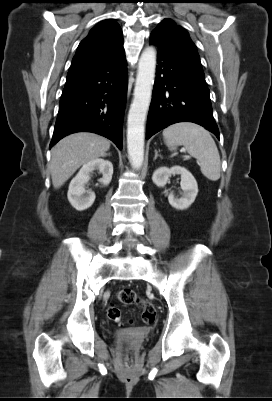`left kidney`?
Segmentation results:
<instances>
[{"label": "left kidney", "mask_w": 272, "mask_h": 401, "mask_svg": "<svg viewBox=\"0 0 272 401\" xmlns=\"http://www.w3.org/2000/svg\"><path fill=\"white\" fill-rule=\"evenodd\" d=\"M172 174L181 176L180 186L182 189V197L175 198L173 193L168 195L169 204L178 209L184 210L194 202L198 194V185L193 175L184 167L174 166L171 168H158L152 176L153 183L158 187H164Z\"/></svg>", "instance_id": "obj_1"}]
</instances>
